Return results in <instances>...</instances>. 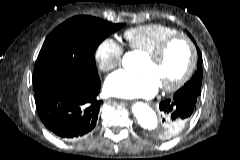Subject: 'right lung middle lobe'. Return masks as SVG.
<instances>
[{
    "instance_id": "right-lung-middle-lobe-1",
    "label": "right lung middle lobe",
    "mask_w": 240,
    "mask_h": 160,
    "mask_svg": "<svg viewBox=\"0 0 240 160\" xmlns=\"http://www.w3.org/2000/svg\"><path fill=\"white\" fill-rule=\"evenodd\" d=\"M122 28L91 16L68 19L46 39L35 64L33 81L61 73L77 80L98 76L93 52L111 33Z\"/></svg>"
}]
</instances>
